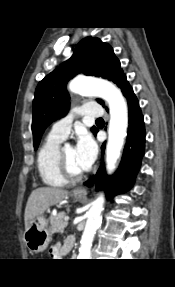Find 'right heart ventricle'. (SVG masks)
Segmentation results:
<instances>
[{
    "label": "right heart ventricle",
    "instance_id": "right-heart-ventricle-1",
    "mask_svg": "<svg viewBox=\"0 0 175 287\" xmlns=\"http://www.w3.org/2000/svg\"><path fill=\"white\" fill-rule=\"evenodd\" d=\"M63 139L49 134L37 154V169L42 182L51 187H63L67 180L60 172L57 154Z\"/></svg>",
    "mask_w": 175,
    "mask_h": 287
}]
</instances>
